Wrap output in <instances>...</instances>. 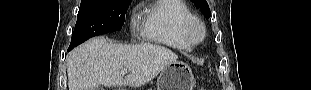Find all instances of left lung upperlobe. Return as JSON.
<instances>
[{"label":"left lung upper lobe","instance_id":"obj_1","mask_svg":"<svg viewBox=\"0 0 311 90\" xmlns=\"http://www.w3.org/2000/svg\"><path fill=\"white\" fill-rule=\"evenodd\" d=\"M198 8L201 9L202 13L208 18L211 15L208 3L206 0H191Z\"/></svg>","mask_w":311,"mask_h":90}]
</instances>
